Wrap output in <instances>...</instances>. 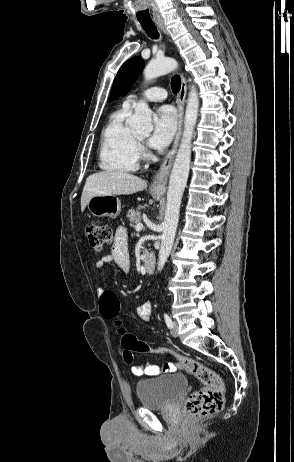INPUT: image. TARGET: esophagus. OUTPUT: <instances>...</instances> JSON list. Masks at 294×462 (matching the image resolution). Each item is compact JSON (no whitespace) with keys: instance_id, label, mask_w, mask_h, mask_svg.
Returning <instances> with one entry per match:
<instances>
[{"instance_id":"esophagus-1","label":"esophagus","mask_w":294,"mask_h":462,"mask_svg":"<svg viewBox=\"0 0 294 462\" xmlns=\"http://www.w3.org/2000/svg\"><path fill=\"white\" fill-rule=\"evenodd\" d=\"M159 27L161 30L168 35V31L163 21L158 22ZM186 95H187V84L184 76L181 77V88L178 95L177 101V108H178V129L177 133L172 145L171 150L165 156L163 163L160 166L159 171L157 172L153 183L151 185V190L159 193H164L166 191V185L168 181V177L172 168L174 156L176 154L179 140L182 133V124H183V114H184V107L186 102Z\"/></svg>"}]
</instances>
